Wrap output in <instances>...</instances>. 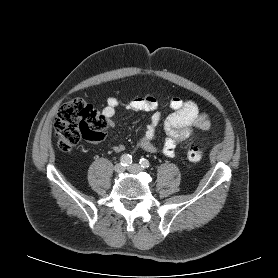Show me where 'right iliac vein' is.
<instances>
[{
    "instance_id": "1",
    "label": "right iliac vein",
    "mask_w": 278,
    "mask_h": 278,
    "mask_svg": "<svg viewBox=\"0 0 278 278\" xmlns=\"http://www.w3.org/2000/svg\"><path fill=\"white\" fill-rule=\"evenodd\" d=\"M124 169L125 168L119 163L114 166V170H115L116 173H121V172L124 171Z\"/></svg>"
}]
</instances>
